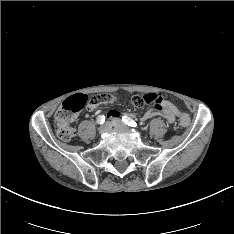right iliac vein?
I'll return each mask as SVG.
<instances>
[{
    "instance_id": "right-iliac-vein-1",
    "label": "right iliac vein",
    "mask_w": 234,
    "mask_h": 234,
    "mask_svg": "<svg viewBox=\"0 0 234 234\" xmlns=\"http://www.w3.org/2000/svg\"><path fill=\"white\" fill-rule=\"evenodd\" d=\"M111 125L109 122L105 123L103 126L100 127V133L103 134L110 129Z\"/></svg>"
}]
</instances>
